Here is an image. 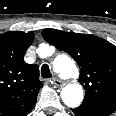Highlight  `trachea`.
<instances>
[{
	"label": "trachea",
	"instance_id": "1",
	"mask_svg": "<svg viewBox=\"0 0 116 116\" xmlns=\"http://www.w3.org/2000/svg\"><path fill=\"white\" fill-rule=\"evenodd\" d=\"M41 76L43 78H51L52 77L49 66L47 64L42 65V67H41Z\"/></svg>",
	"mask_w": 116,
	"mask_h": 116
}]
</instances>
